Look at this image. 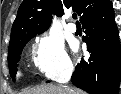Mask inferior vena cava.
Segmentation results:
<instances>
[{
  "label": "inferior vena cava",
  "instance_id": "602c4592",
  "mask_svg": "<svg viewBox=\"0 0 121 94\" xmlns=\"http://www.w3.org/2000/svg\"><path fill=\"white\" fill-rule=\"evenodd\" d=\"M72 72H73V65L72 64H69L66 68H65V72H64V77H63V83H67L69 80H70V77L72 75ZM65 88L67 90H69L70 88H67L65 86Z\"/></svg>",
  "mask_w": 121,
  "mask_h": 94
}]
</instances>
